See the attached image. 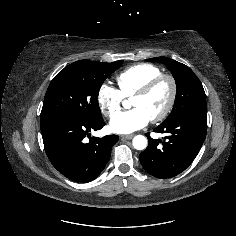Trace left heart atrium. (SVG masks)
Instances as JSON below:
<instances>
[{"mask_svg": "<svg viewBox=\"0 0 236 236\" xmlns=\"http://www.w3.org/2000/svg\"><path fill=\"white\" fill-rule=\"evenodd\" d=\"M150 120L141 108H133L115 115L111 119L110 128L115 133L128 134L145 127Z\"/></svg>", "mask_w": 236, "mask_h": 236, "instance_id": "39dd6f15", "label": "left heart atrium"}]
</instances>
